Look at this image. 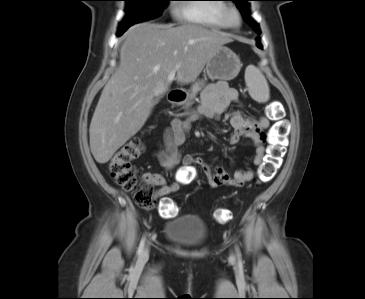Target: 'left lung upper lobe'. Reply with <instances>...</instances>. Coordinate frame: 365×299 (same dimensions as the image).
<instances>
[{"mask_svg":"<svg viewBox=\"0 0 365 299\" xmlns=\"http://www.w3.org/2000/svg\"><path fill=\"white\" fill-rule=\"evenodd\" d=\"M230 1H234L236 3L244 20L254 29L256 33L260 34V29L258 24L254 20H252L249 16V5L246 2L250 0H230Z\"/></svg>","mask_w":365,"mask_h":299,"instance_id":"1","label":"left lung upper lobe"}]
</instances>
